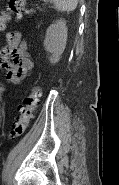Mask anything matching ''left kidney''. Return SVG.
Instances as JSON below:
<instances>
[{
	"label": "left kidney",
	"mask_w": 119,
	"mask_h": 185,
	"mask_svg": "<svg viewBox=\"0 0 119 185\" xmlns=\"http://www.w3.org/2000/svg\"><path fill=\"white\" fill-rule=\"evenodd\" d=\"M67 42V26L63 19L55 21L46 30L44 47L51 54L50 62L55 64L65 50Z\"/></svg>",
	"instance_id": "obj_1"
}]
</instances>
